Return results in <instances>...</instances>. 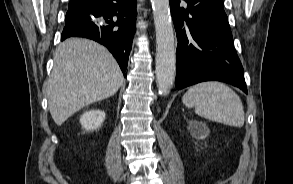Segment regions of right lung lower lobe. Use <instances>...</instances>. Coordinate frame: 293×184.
<instances>
[{
  "instance_id": "98d812e1",
  "label": "right lung lower lobe",
  "mask_w": 293,
  "mask_h": 184,
  "mask_svg": "<svg viewBox=\"0 0 293 184\" xmlns=\"http://www.w3.org/2000/svg\"><path fill=\"white\" fill-rule=\"evenodd\" d=\"M136 0H88L69 7L61 40L86 37L103 44L124 76L135 33Z\"/></svg>"
}]
</instances>
